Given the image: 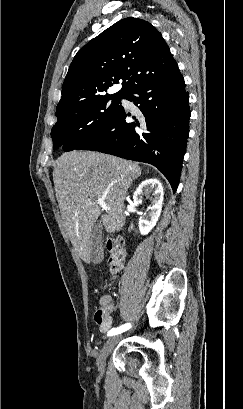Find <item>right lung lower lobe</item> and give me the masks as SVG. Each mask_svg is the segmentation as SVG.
I'll list each match as a JSON object with an SVG mask.
<instances>
[{"label":"right lung lower lobe","mask_w":243,"mask_h":409,"mask_svg":"<svg viewBox=\"0 0 243 409\" xmlns=\"http://www.w3.org/2000/svg\"><path fill=\"white\" fill-rule=\"evenodd\" d=\"M141 111L140 122L127 123L122 107L102 131L75 149L93 150L157 167L175 192L189 134V94L179 69L134 87L125 96ZM135 118V117H133Z\"/></svg>","instance_id":"98d812e1"}]
</instances>
